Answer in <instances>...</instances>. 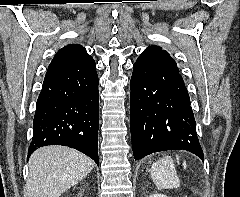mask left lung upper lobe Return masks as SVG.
Here are the masks:
<instances>
[{
    "label": "left lung upper lobe",
    "instance_id": "5c2ea615",
    "mask_svg": "<svg viewBox=\"0 0 240 197\" xmlns=\"http://www.w3.org/2000/svg\"><path fill=\"white\" fill-rule=\"evenodd\" d=\"M134 66L142 70H161L179 73L176 62L167 51L154 45L147 47L143 51Z\"/></svg>",
    "mask_w": 240,
    "mask_h": 197
}]
</instances>
